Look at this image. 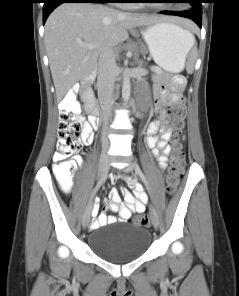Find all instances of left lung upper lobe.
<instances>
[{"mask_svg":"<svg viewBox=\"0 0 239 296\" xmlns=\"http://www.w3.org/2000/svg\"><path fill=\"white\" fill-rule=\"evenodd\" d=\"M187 2L189 3L191 6H194L195 8H197L198 10H202V0H179V2Z\"/></svg>","mask_w":239,"mask_h":296,"instance_id":"left-lung-upper-lobe-1","label":"left lung upper lobe"}]
</instances>
